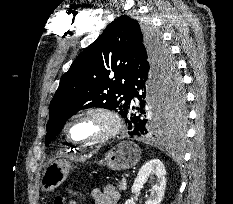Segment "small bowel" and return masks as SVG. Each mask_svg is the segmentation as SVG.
I'll return each instance as SVG.
<instances>
[{
	"mask_svg": "<svg viewBox=\"0 0 233 204\" xmlns=\"http://www.w3.org/2000/svg\"><path fill=\"white\" fill-rule=\"evenodd\" d=\"M92 198L94 204H117L120 198L118 190L112 186L107 185L103 190H93Z\"/></svg>",
	"mask_w": 233,
	"mask_h": 204,
	"instance_id": "small-bowel-1",
	"label": "small bowel"
}]
</instances>
